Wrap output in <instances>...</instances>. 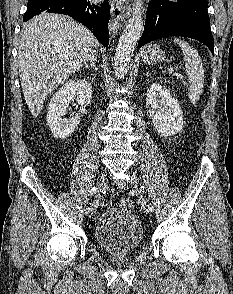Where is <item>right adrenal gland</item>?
Wrapping results in <instances>:
<instances>
[{
  "label": "right adrenal gland",
  "instance_id": "right-adrenal-gland-1",
  "mask_svg": "<svg viewBox=\"0 0 233 294\" xmlns=\"http://www.w3.org/2000/svg\"><path fill=\"white\" fill-rule=\"evenodd\" d=\"M97 58L98 57L95 56V58L91 61V63L88 64V65H86L85 68L88 69V68L91 67L92 69H94L95 71H97V69H98L97 66H96Z\"/></svg>",
  "mask_w": 233,
  "mask_h": 294
}]
</instances>
